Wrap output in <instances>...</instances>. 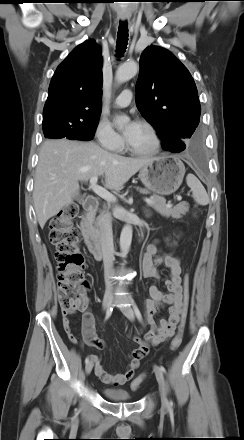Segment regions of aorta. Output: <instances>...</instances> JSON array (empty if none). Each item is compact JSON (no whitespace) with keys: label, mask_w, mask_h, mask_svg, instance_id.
I'll use <instances>...</instances> for the list:
<instances>
[{"label":"aorta","mask_w":244,"mask_h":440,"mask_svg":"<svg viewBox=\"0 0 244 440\" xmlns=\"http://www.w3.org/2000/svg\"><path fill=\"white\" fill-rule=\"evenodd\" d=\"M137 73V65L136 63L129 62L124 63L121 66L118 67L115 75V79L118 83H124L130 80L132 77L135 76ZM129 121V118L127 116H117L116 117V123L119 127V129L123 128V125ZM132 226L130 224H126L120 235V250H121V257H126L128 254V251L131 246L132 242Z\"/></svg>","instance_id":"762f6f07"}]
</instances>
